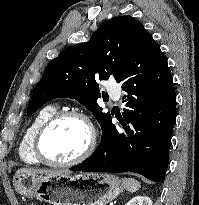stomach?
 I'll list each match as a JSON object with an SVG mask.
<instances>
[{
	"instance_id": "1",
	"label": "stomach",
	"mask_w": 199,
	"mask_h": 205,
	"mask_svg": "<svg viewBox=\"0 0 199 205\" xmlns=\"http://www.w3.org/2000/svg\"><path fill=\"white\" fill-rule=\"evenodd\" d=\"M13 183L21 195L50 205H105L122 190L120 180L106 173L34 176L17 171Z\"/></svg>"
}]
</instances>
